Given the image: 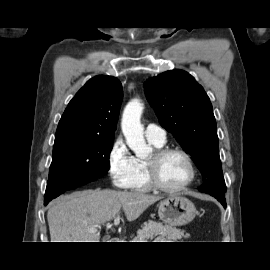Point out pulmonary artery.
<instances>
[{"label":"pulmonary artery","instance_id":"1","mask_svg":"<svg viewBox=\"0 0 270 270\" xmlns=\"http://www.w3.org/2000/svg\"><path fill=\"white\" fill-rule=\"evenodd\" d=\"M145 135L148 140H152L157 143H165L166 141V131L155 124L147 125Z\"/></svg>","mask_w":270,"mask_h":270}]
</instances>
